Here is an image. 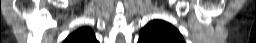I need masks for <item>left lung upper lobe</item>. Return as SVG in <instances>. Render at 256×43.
<instances>
[{
	"instance_id": "1",
	"label": "left lung upper lobe",
	"mask_w": 256,
	"mask_h": 43,
	"mask_svg": "<svg viewBox=\"0 0 256 43\" xmlns=\"http://www.w3.org/2000/svg\"><path fill=\"white\" fill-rule=\"evenodd\" d=\"M138 43H185L180 32L162 20L149 22L140 32Z\"/></svg>"
}]
</instances>
